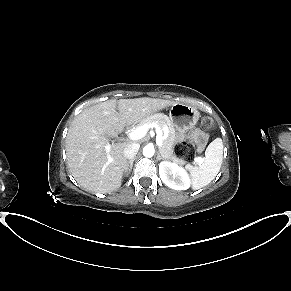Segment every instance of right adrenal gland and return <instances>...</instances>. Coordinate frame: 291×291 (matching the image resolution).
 Returning a JSON list of instances; mask_svg holds the SVG:
<instances>
[{"instance_id": "2a0ac1e0", "label": "right adrenal gland", "mask_w": 291, "mask_h": 291, "mask_svg": "<svg viewBox=\"0 0 291 291\" xmlns=\"http://www.w3.org/2000/svg\"><path fill=\"white\" fill-rule=\"evenodd\" d=\"M135 158L131 159L128 161V175L130 174L132 167H133V162H134Z\"/></svg>"}]
</instances>
